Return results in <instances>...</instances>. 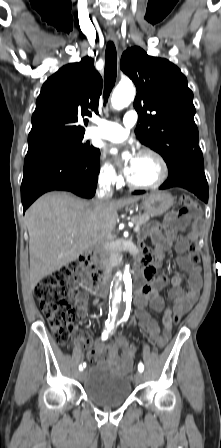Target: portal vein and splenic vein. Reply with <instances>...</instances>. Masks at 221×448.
<instances>
[{"label": "portal vein and splenic vein", "instance_id": "obj_1", "mask_svg": "<svg viewBox=\"0 0 221 448\" xmlns=\"http://www.w3.org/2000/svg\"><path fill=\"white\" fill-rule=\"evenodd\" d=\"M140 230L139 226H134V232H138Z\"/></svg>", "mask_w": 221, "mask_h": 448}]
</instances>
